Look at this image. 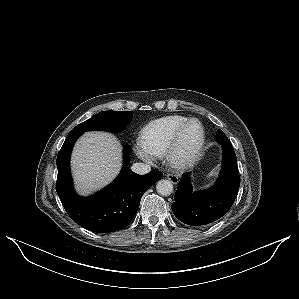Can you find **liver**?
I'll list each match as a JSON object with an SVG mask.
<instances>
[{
	"label": "liver",
	"mask_w": 299,
	"mask_h": 299,
	"mask_svg": "<svg viewBox=\"0 0 299 299\" xmlns=\"http://www.w3.org/2000/svg\"><path fill=\"white\" fill-rule=\"evenodd\" d=\"M121 146L106 132H86L76 143L71 166L77 190L89 194L111 182L121 168Z\"/></svg>",
	"instance_id": "obj_1"
}]
</instances>
